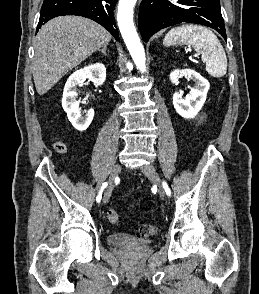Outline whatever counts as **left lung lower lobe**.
<instances>
[{"label": "left lung lower lobe", "instance_id": "1", "mask_svg": "<svg viewBox=\"0 0 259 294\" xmlns=\"http://www.w3.org/2000/svg\"><path fill=\"white\" fill-rule=\"evenodd\" d=\"M181 22L211 27L227 40L219 0H142L138 25L145 42L159 30Z\"/></svg>", "mask_w": 259, "mask_h": 294}]
</instances>
